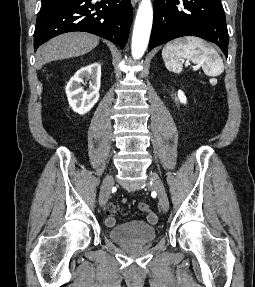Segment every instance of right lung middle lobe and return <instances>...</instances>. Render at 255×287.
<instances>
[{"label": "right lung middle lobe", "instance_id": "dd1d6c3e", "mask_svg": "<svg viewBox=\"0 0 255 287\" xmlns=\"http://www.w3.org/2000/svg\"><path fill=\"white\" fill-rule=\"evenodd\" d=\"M53 1V0H52ZM49 3V0H42V5Z\"/></svg>", "mask_w": 255, "mask_h": 287}]
</instances>
